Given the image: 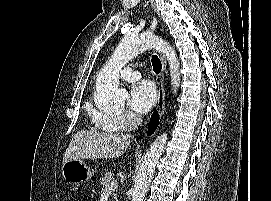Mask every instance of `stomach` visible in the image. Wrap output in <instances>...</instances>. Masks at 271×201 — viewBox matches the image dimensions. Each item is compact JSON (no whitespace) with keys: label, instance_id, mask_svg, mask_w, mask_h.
Listing matches in <instances>:
<instances>
[{"label":"stomach","instance_id":"1","mask_svg":"<svg viewBox=\"0 0 271 201\" xmlns=\"http://www.w3.org/2000/svg\"><path fill=\"white\" fill-rule=\"evenodd\" d=\"M62 175L67 182L77 185L90 180L94 171L83 160L76 159L63 164Z\"/></svg>","mask_w":271,"mask_h":201}]
</instances>
